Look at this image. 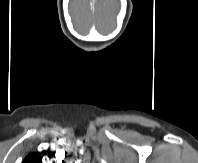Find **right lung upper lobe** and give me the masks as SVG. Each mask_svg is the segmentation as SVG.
Instances as JSON below:
<instances>
[{
    "label": "right lung upper lobe",
    "instance_id": "right-lung-upper-lobe-1",
    "mask_svg": "<svg viewBox=\"0 0 198 163\" xmlns=\"http://www.w3.org/2000/svg\"><path fill=\"white\" fill-rule=\"evenodd\" d=\"M22 163H42V160L37 153H30Z\"/></svg>",
    "mask_w": 198,
    "mask_h": 163
}]
</instances>
